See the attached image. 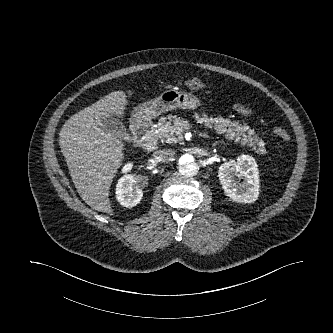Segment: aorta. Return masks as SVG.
<instances>
[{
    "mask_svg": "<svg viewBox=\"0 0 333 333\" xmlns=\"http://www.w3.org/2000/svg\"><path fill=\"white\" fill-rule=\"evenodd\" d=\"M178 170L180 174L192 177L198 172V165L195 158L188 154H181L178 160Z\"/></svg>",
    "mask_w": 333,
    "mask_h": 333,
    "instance_id": "762f6f07",
    "label": "aorta"
}]
</instances>
